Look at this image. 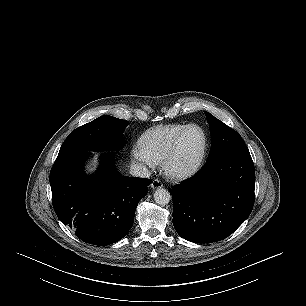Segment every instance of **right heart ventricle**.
Segmentation results:
<instances>
[{
  "label": "right heart ventricle",
  "instance_id": "e07e8e85",
  "mask_svg": "<svg viewBox=\"0 0 306 306\" xmlns=\"http://www.w3.org/2000/svg\"><path fill=\"white\" fill-rule=\"evenodd\" d=\"M186 125H163L145 132L140 146L156 161L162 162L170 153L173 143Z\"/></svg>",
  "mask_w": 306,
  "mask_h": 306
}]
</instances>
